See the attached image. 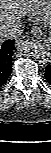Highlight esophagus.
I'll list each match as a JSON object with an SVG mask.
<instances>
[{
	"label": "esophagus",
	"mask_w": 51,
	"mask_h": 153,
	"mask_svg": "<svg viewBox=\"0 0 51 153\" xmlns=\"http://www.w3.org/2000/svg\"><path fill=\"white\" fill-rule=\"evenodd\" d=\"M32 33H33V35H34L35 37H37V38H40L41 35H42L41 30H40L38 27H34V28L32 29Z\"/></svg>",
	"instance_id": "esophagus-1"
}]
</instances>
